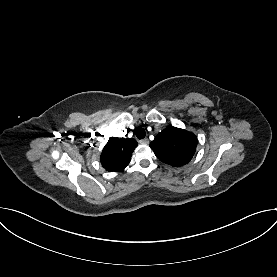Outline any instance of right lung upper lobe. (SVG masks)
<instances>
[{
    "label": "right lung upper lobe",
    "mask_w": 277,
    "mask_h": 277,
    "mask_svg": "<svg viewBox=\"0 0 277 277\" xmlns=\"http://www.w3.org/2000/svg\"><path fill=\"white\" fill-rule=\"evenodd\" d=\"M137 145L133 138L111 137L100 156L102 166L109 172L122 171L129 164Z\"/></svg>",
    "instance_id": "obj_1"
}]
</instances>
